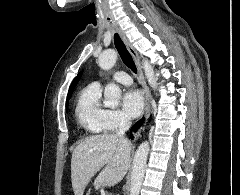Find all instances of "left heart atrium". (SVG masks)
Instances as JSON below:
<instances>
[{
  "mask_svg": "<svg viewBox=\"0 0 240 195\" xmlns=\"http://www.w3.org/2000/svg\"><path fill=\"white\" fill-rule=\"evenodd\" d=\"M123 105L131 117H138L144 109L142 93L138 90H130L124 96Z\"/></svg>",
  "mask_w": 240,
  "mask_h": 195,
  "instance_id": "left-heart-atrium-1",
  "label": "left heart atrium"
}]
</instances>
